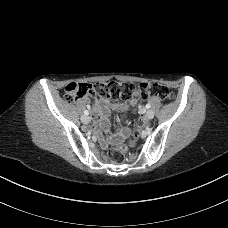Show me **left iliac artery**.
Returning a JSON list of instances; mask_svg holds the SVG:
<instances>
[{"mask_svg": "<svg viewBox=\"0 0 228 228\" xmlns=\"http://www.w3.org/2000/svg\"><path fill=\"white\" fill-rule=\"evenodd\" d=\"M151 106L150 104H146V108L149 109Z\"/></svg>", "mask_w": 228, "mask_h": 228, "instance_id": "44dca946", "label": "left iliac artery"}]
</instances>
